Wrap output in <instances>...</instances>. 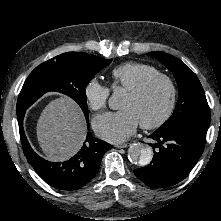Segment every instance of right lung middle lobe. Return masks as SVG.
<instances>
[{"mask_svg": "<svg viewBox=\"0 0 221 221\" xmlns=\"http://www.w3.org/2000/svg\"><path fill=\"white\" fill-rule=\"evenodd\" d=\"M111 61L86 53L68 52L44 62L25 81L17 101V115L26 111L44 93L57 91L76 101L88 119L85 88L93 76Z\"/></svg>", "mask_w": 221, "mask_h": 221, "instance_id": "obj_1", "label": "right lung middle lobe"}]
</instances>
